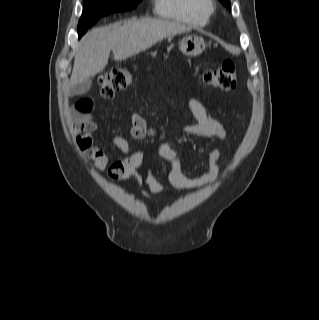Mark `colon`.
Returning <instances> with one entry per match:
<instances>
[{
    "label": "colon",
    "instance_id": "5ec220e1",
    "mask_svg": "<svg viewBox=\"0 0 319 320\" xmlns=\"http://www.w3.org/2000/svg\"><path fill=\"white\" fill-rule=\"evenodd\" d=\"M133 80V72L128 67H115L110 70L102 79L101 95L104 98H111L117 91L126 89ZM204 84L220 90H231L237 84V74L232 60H223L216 68H209L201 74ZM77 107V106H76ZM122 168L120 162L111 166V173ZM117 179V178H114Z\"/></svg>",
    "mask_w": 319,
    "mask_h": 320
}]
</instances>
